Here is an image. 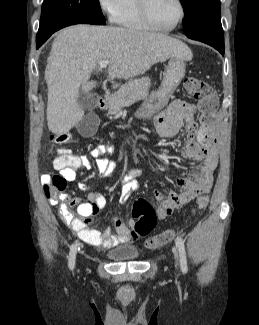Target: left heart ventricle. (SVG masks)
Masks as SVG:
<instances>
[{"instance_id": "1", "label": "left heart ventricle", "mask_w": 259, "mask_h": 325, "mask_svg": "<svg viewBox=\"0 0 259 325\" xmlns=\"http://www.w3.org/2000/svg\"><path fill=\"white\" fill-rule=\"evenodd\" d=\"M149 12L153 22L160 27L172 26L180 13L176 0H150Z\"/></svg>"}]
</instances>
